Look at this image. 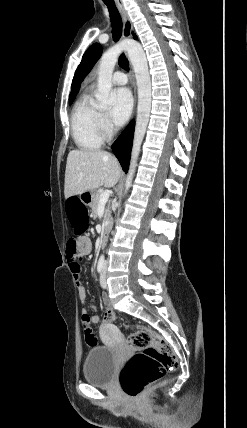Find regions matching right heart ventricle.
<instances>
[{
  "label": "right heart ventricle",
  "instance_id": "e07e8e85",
  "mask_svg": "<svg viewBox=\"0 0 247 428\" xmlns=\"http://www.w3.org/2000/svg\"><path fill=\"white\" fill-rule=\"evenodd\" d=\"M100 113L88 94L83 95L75 104L72 118V136L82 150H95L103 143V133L99 122Z\"/></svg>",
  "mask_w": 247,
  "mask_h": 428
}]
</instances>
